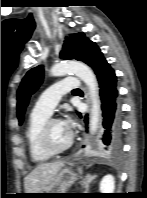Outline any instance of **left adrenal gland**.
<instances>
[{"mask_svg":"<svg viewBox=\"0 0 147 198\" xmlns=\"http://www.w3.org/2000/svg\"><path fill=\"white\" fill-rule=\"evenodd\" d=\"M97 175H91V174H87L84 179H83V187L85 189V193H88L89 191V185L90 183L96 179Z\"/></svg>","mask_w":147,"mask_h":198,"instance_id":"1","label":"left adrenal gland"}]
</instances>
